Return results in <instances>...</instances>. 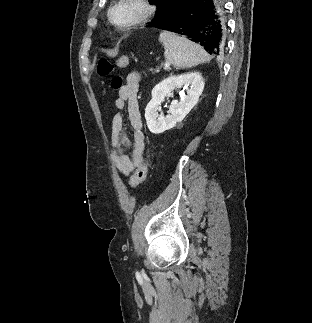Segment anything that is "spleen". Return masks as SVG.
I'll return each mask as SVG.
<instances>
[{
	"label": "spleen",
	"mask_w": 312,
	"mask_h": 323,
	"mask_svg": "<svg viewBox=\"0 0 312 323\" xmlns=\"http://www.w3.org/2000/svg\"><path fill=\"white\" fill-rule=\"evenodd\" d=\"M159 42L164 46V56L168 64H173L175 68H192L211 60V56L203 50L202 46L190 42L186 36L181 38L180 34L162 30Z\"/></svg>",
	"instance_id": "3e777b00"
}]
</instances>
